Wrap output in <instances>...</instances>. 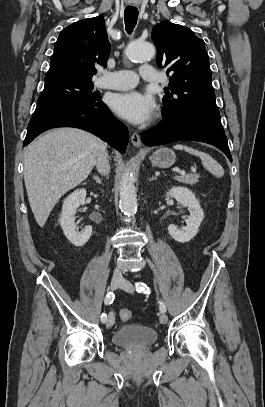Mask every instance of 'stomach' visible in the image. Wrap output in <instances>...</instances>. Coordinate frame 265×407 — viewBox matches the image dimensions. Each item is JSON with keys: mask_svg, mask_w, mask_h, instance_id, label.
<instances>
[{"mask_svg": "<svg viewBox=\"0 0 265 407\" xmlns=\"http://www.w3.org/2000/svg\"><path fill=\"white\" fill-rule=\"evenodd\" d=\"M150 160L153 166L169 168L174 164L176 155L171 149L161 147L151 155Z\"/></svg>", "mask_w": 265, "mask_h": 407, "instance_id": "stomach-1", "label": "stomach"}]
</instances>
